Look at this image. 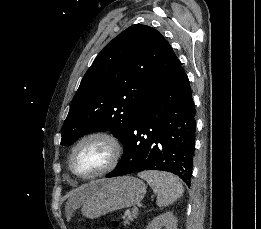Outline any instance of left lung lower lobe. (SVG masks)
Returning <instances> with one entry per match:
<instances>
[{
  "label": "left lung lower lobe",
  "instance_id": "0a47b994",
  "mask_svg": "<svg viewBox=\"0 0 261 229\" xmlns=\"http://www.w3.org/2000/svg\"><path fill=\"white\" fill-rule=\"evenodd\" d=\"M194 117L188 76L180 66L149 94L123 143L121 161L106 177L161 170L189 184L195 150Z\"/></svg>",
  "mask_w": 261,
  "mask_h": 229
}]
</instances>
